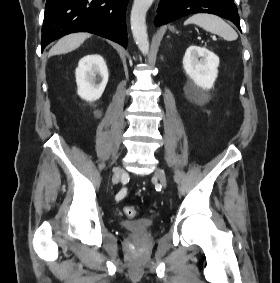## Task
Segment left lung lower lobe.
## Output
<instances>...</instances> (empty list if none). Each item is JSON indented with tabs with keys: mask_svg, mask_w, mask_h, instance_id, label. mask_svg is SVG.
I'll return each mask as SVG.
<instances>
[{
	"mask_svg": "<svg viewBox=\"0 0 280 283\" xmlns=\"http://www.w3.org/2000/svg\"><path fill=\"white\" fill-rule=\"evenodd\" d=\"M194 13H210L231 20L240 28L234 0H161L154 20L156 26L167 24Z\"/></svg>",
	"mask_w": 280,
	"mask_h": 283,
	"instance_id": "1",
	"label": "left lung lower lobe"
}]
</instances>
